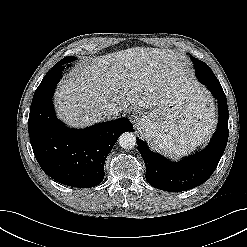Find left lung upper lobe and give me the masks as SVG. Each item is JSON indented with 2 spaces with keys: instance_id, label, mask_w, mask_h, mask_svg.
Returning a JSON list of instances; mask_svg holds the SVG:
<instances>
[{
  "instance_id": "left-lung-upper-lobe-1",
  "label": "left lung upper lobe",
  "mask_w": 247,
  "mask_h": 247,
  "mask_svg": "<svg viewBox=\"0 0 247 247\" xmlns=\"http://www.w3.org/2000/svg\"><path fill=\"white\" fill-rule=\"evenodd\" d=\"M191 59H192L193 62L198 61L197 58H193L192 56H191Z\"/></svg>"
}]
</instances>
